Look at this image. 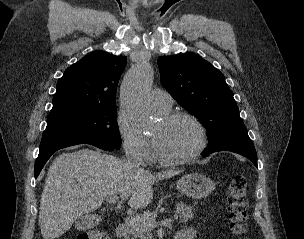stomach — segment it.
I'll use <instances>...</instances> for the list:
<instances>
[{"label": "stomach", "instance_id": "1", "mask_svg": "<svg viewBox=\"0 0 304 239\" xmlns=\"http://www.w3.org/2000/svg\"><path fill=\"white\" fill-rule=\"evenodd\" d=\"M176 185L181 193L193 199L207 197L215 188L213 180L199 173H190L182 176Z\"/></svg>", "mask_w": 304, "mask_h": 239}]
</instances>
